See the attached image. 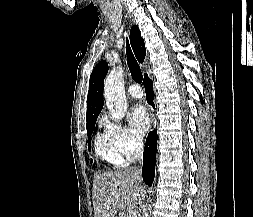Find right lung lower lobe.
Masks as SVG:
<instances>
[{"label":"right lung lower lobe","instance_id":"98d812e1","mask_svg":"<svg viewBox=\"0 0 253 217\" xmlns=\"http://www.w3.org/2000/svg\"><path fill=\"white\" fill-rule=\"evenodd\" d=\"M144 83L147 101L149 104L154 106L153 104L154 92L152 81L148 78L147 75H145ZM156 151H157V133L154 130L153 132H150L147 137L143 154L142 177L143 181L148 186H151L154 180Z\"/></svg>","mask_w":253,"mask_h":217}]
</instances>
